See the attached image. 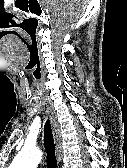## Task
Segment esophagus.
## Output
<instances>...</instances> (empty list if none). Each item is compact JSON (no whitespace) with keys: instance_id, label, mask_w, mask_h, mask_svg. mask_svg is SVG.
I'll return each instance as SVG.
<instances>
[{"instance_id":"1","label":"esophagus","mask_w":127,"mask_h":168,"mask_svg":"<svg viewBox=\"0 0 127 168\" xmlns=\"http://www.w3.org/2000/svg\"><path fill=\"white\" fill-rule=\"evenodd\" d=\"M46 113L48 114L51 125H52L53 135H54L55 144H56L57 158L59 161H61L62 159V139H61V133H60V126H59V123L57 122L56 116L54 115L51 109H47Z\"/></svg>"}]
</instances>
